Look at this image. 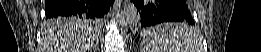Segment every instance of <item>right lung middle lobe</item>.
Segmentation results:
<instances>
[{
    "label": "right lung middle lobe",
    "mask_w": 261,
    "mask_h": 52,
    "mask_svg": "<svg viewBox=\"0 0 261 52\" xmlns=\"http://www.w3.org/2000/svg\"><path fill=\"white\" fill-rule=\"evenodd\" d=\"M54 20L61 23H72V22L85 23L92 29H96L99 26L98 20L90 19L84 16H63V17H57Z\"/></svg>",
    "instance_id": "dd1d6c3e"
}]
</instances>
